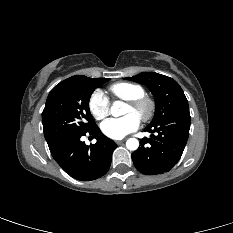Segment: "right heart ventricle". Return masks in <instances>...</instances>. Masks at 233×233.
I'll use <instances>...</instances> for the list:
<instances>
[{"instance_id": "1", "label": "right heart ventricle", "mask_w": 233, "mask_h": 233, "mask_svg": "<svg viewBox=\"0 0 233 233\" xmlns=\"http://www.w3.org/2000/svg\"><path fill=\"white\" fill-rule=\"evenodd\" d=\"M108 90L114 99L121 101H129L145 95L144 88L132 82H117L110 85Z\"/></svg>"}]
</instances>
